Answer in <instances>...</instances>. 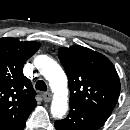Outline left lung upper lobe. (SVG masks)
<instances>
[{
    "mask_svg": "<svg viewBox=\"0 0 130 130\" xmlns=\"http://www.w3.org/2000/svg\"><path fill=\"white\" fill-rule=\"evenodd\" d=\"M58 58L68 77L70 106L92 109L108 118L120 93V80L112 62L79 45L60 48Z\"/></svg>",
    "mask_w": 130,
    "mask_h": 130,
    "instance_id": "left-lung-upper-lobe-1",
    "label": "left lung upper lobe"
}]
</instances>
